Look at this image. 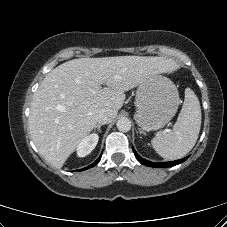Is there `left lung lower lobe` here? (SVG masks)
Instances as JSON below:
<instances>
[{
  "label": "left lung lower lobe",
  "instance_id": "obj_1",
  "mask_svg": "<svg viewBox=\"0 0 227 227\" xmlns=\"http://www.w3.org/2000/svg\"><path fill=\"white\" fill-rule=\"evenodd\" d=\"M133 152H134L136 158L139 160V162H141L142 164H144L146 166L156 167V168L172 167V166H175L177 164L184 162L188 158V157H186V158H183V159H180V160L164 162V163H155V162H151V161L143 159L141 156H139L137 154V152L134 150V148H133Z\"/></svg>",
  "mask_w": 227,
  "mask_h": 227
}]
</instances>
